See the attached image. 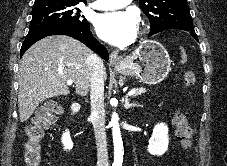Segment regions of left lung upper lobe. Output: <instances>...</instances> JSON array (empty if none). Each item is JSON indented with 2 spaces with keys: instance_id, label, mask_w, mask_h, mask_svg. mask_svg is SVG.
<instances>
[{
  "instance_id": "1",
  "label": "left lung upper lobe",
  "mask_w": 227,
  "mask_h": 166,
  "mask_svg": "<svg viewBox=\"0 0 227 166\" xmlns=\"http://www.w3.org/2000/svg\"><path fill=\"white\" fill-rule=\"evenodd\" d=\"M139 4L151 24L149 36L169 29L193 27L186 0H140Z\"/></svg>"
}]
</instances>
